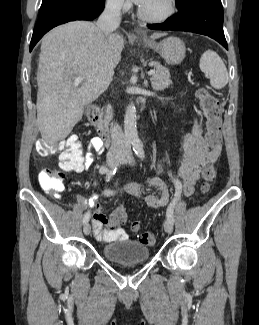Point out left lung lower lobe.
<instances>
[{
  "mask_svg": "<svg viewBox=\"0 0 259 325\" xmlns=\"http://www.w3.org/2000/svg\"><path fill=\"white\" fill-rule=\"evenodd\" d=\"M178 13L161 24L147 25L155 30H174L207 35L226 49L221 0H183L176 3Z\"/></svg>",
  "mask_w": 259,
  "mask_h": 325,
  "instance_id": "obj_1",
  "label": "left lung lower lobe"
}]
</instances>
